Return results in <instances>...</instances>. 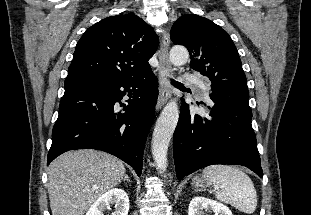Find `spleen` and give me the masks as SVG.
Segmentation results:
<instances>
[{
  "mask_svg": "<svg viewBox=\"0 0 311 215\" xmlns=\"http://www.w3.org/2000/svg\"><path fill=\"white\" fill-rule=\"evenodd\" d=\"M202 177L213 184L215 197L246 214H252L257 206V194L250 177L234 166L212 165L203 170Z\"/></svg>",
  "mask_w": 311,
  "mask_h": 215,
  "instance_id": "1",
  "label": "spleen"
}]
</instances>
